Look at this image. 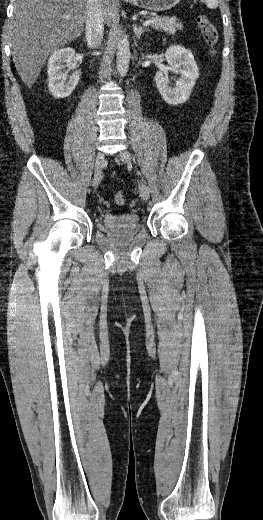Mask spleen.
Returning a JSON list of instances; mask_svg holds the SVG:
<instances>
[{
	"mask_svg": "<svg viewBox=\"0 0 263 520\" xmlns=\"http://www.w3.org/2000/svg\"><path fill=\"white\" fill-rule=\"evenodd\" d=\"M204 1L208 8L215 9L218 6L217 0H204Z\"/></svg>",
	"mask_w": 263,
	"mask_h": 520,
	"instance_id": "spleen-1",
	"label": "spleen"
}]
</instances>
